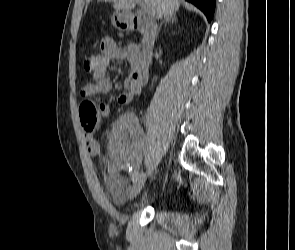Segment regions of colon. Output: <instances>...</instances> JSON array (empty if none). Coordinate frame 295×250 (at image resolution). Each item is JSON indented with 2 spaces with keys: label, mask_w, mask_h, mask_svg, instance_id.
Here are the masks:
<instances>
[{
  "label": "colon",
  "mask_w": 295,
  "mask_h": 250,
  "mask_svg": "<svg viewBox=\"0 0 295 250\" xmlns=\"http://www.w3.org/2000/svg\"><path fill=\"white\" fill-rule=\"evenodd\" d=\"M82 65L87 72L95 73L98 65L96 55L91 53L84 55ZM79 114L85 133H91L99 126V113L93 101L83 100L79 107Z\"/></svg>",
  "instance_id": "colon-1"
}]
</instances>
